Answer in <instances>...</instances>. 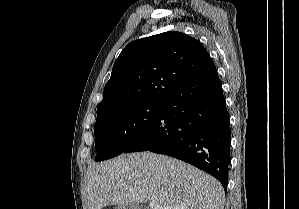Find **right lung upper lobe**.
Instances as JSON below:
<instances>
[{"label": "right lung upper lobe", "mask_w": 299, "mask_h": 209, "mask_svg": "<svg viewBox=\"0 0 299 209\" xmlns=\"http://www.w3.org/2000/svg\"><path fill=\"white\" fill-rule=\"evenodd\" d=\"M216 69L207 50L196 39L170 31L129 43L114 63L100 114L137 102H165L191 76Z\"/></svg>", "instance_id": "right-lung-upper-lobe-1"}]
</instances>
